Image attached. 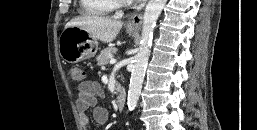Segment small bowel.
Listing matches in <instances>:
<instances>
[{"mask_svg": "<svg viewBox=\"0 0 257 130\" xmlns=\"http://www.w3.org/2000/svg\"><path fill=\"white\" fill-rule=\"evenodd\" d=\"M77 90L76 107L82 128L84 130L90 128V118L87 114L89 109L93 110V118L98 125L105 124L108 121L109 112L106 108L97 105L98 99L104 97L100 84L95 81H84L78 85Z\"/></svg>", "mask_w": 257, "mask_h": 130, "instance_id": "obj_1", "label": "small bowel"}]
</instances>
